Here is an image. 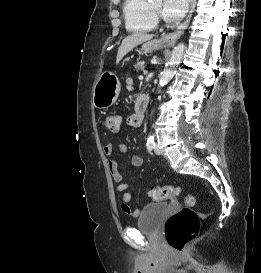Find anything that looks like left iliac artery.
I'll use <instances>...</instances> for the list:
<instances>
[{
	"label": "left iliac artery",
	"instance_id": "obj_1",
	"mask_svg": "<svg viewBox=\"0 0 261 273\" xmlns=\"http://www.w3.org/2000/svg\"><path fill=\"white\" fill-rule=\"evenodd\" d=\"M146 145L148 150H152L154 148L155 143H154V137L152 135L148 136Z\"/></svg>",
	"mask_w": 261,
	"mask_h": 273
}]
</instances>
